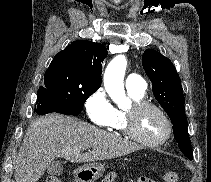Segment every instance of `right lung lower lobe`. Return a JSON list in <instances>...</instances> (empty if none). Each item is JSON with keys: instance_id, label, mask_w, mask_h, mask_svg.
<instances>
[{"instance_id": "obj_1", "label": "right lung lower lobe", "mask_w": 211, "mask_h": 182, "mask_svg": "<svg viewBox=\"0 0 211 182\" xmlns=\"http://www.w3.org/2000/svg\"><path fill=\"white\" fill-rule=\"evenodd\" d=\"M37 100H38L37 108L35 109L34 112L39 115H45L47 113H52V112L61 113L65 115H78L69 111L68 109H66L65 107H63L62 105H60L51 98H44V99L37 98Z\"/></svg>"}]
</instances>
